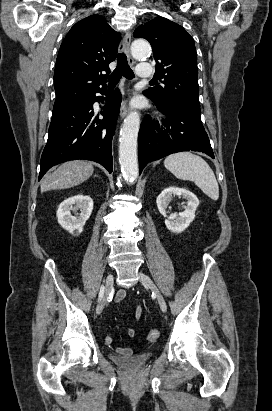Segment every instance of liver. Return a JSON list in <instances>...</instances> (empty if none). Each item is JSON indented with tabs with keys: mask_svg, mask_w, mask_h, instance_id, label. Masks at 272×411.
Returning a JSON list of instances; mask_svg holds the SVG:
<instances>
[{
	"mask_svg": "<svg viewBox=\"0 0 272 411\" xmlns=\"http://www.w3.org/2000/svg\"><path fill=\"white\" fill-rule=\"evenodd\" d=\"M94 172L92 163L74 160L61 164L41 183V192L71 188L87 180Z\"/></svg>",
	"mask_w": 272,
	"mask_h": 411,
	"instance_id": "obj_1",
	"label": "liver"
}]
</instances>
